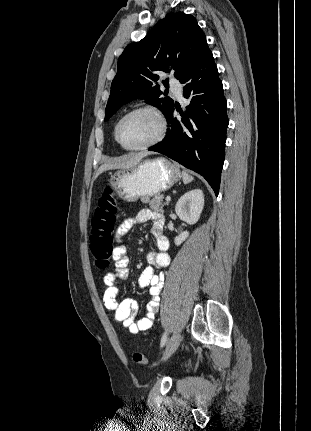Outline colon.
Returning a JSON list of instances; mask_svg holds the SVG:
<instances>
[{"instance_id": "1", "label": "colon", "mask_w": 311, "mask_h": 431, "mask_svg": "<svg viewBox=\"0 0 311 431\" xmlns=\"http://www.w3.org/2000/svg\"><path fill=\"white\" fill-rule=\"evenodd\" d=\"M117 220V205L113 195V186L106 184L100 196L94 216L91 220L92 230L89 247L95 265L106 269L113 255V231ZM133 360L139 364H148V358L140 353H133Z\"/></svg>"}]
</instances>
